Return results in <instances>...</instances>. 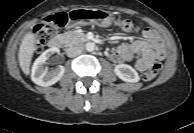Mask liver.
<instances>
[{
    "label": "liver",
    "mask_w": 194,
    "mask_h": 133,
    "mask_svg": "<svg viewBox=\"0 0 194 133\" xmlns=\"http://www.w3.org/2000/svg\"><path fill=\"white\" fill-rule=\"evenodd\" d=\"M35 50L36 35L33 32H28L22 39L18 53L19 65L26 75L30 72V64Z\"/></svg>",
    "instance_id": "obj_1"
}]
</instances>
